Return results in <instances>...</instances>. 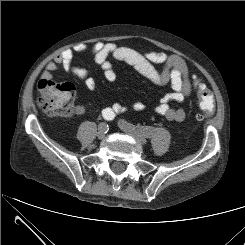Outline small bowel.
Here are the masks:
<instances>
[{"mask_svg":"<svg viewBox=\"0 0 245 245\" xmlns=\"http://www.w3.org/2000/svg\"><path fill=\"white\" fill-rule=\"evenodd\" d=\"M91 50L94 54L95 62L101 67L103 76L108 82H114L117 75L110 58L123 62L134 68L139 74L156 85H171V92L168 93L155 107L154 111L170 121L180 122L185 119L186 112L183 107H173L171 102L182 103L191 95L192 84L190 73L185 61L177 55H167L162 52L140 53L136 50L118 46L113 43L95 42L90 48L80 44L74 49H66L55 59L49 62L42 73L43 80H53V72L63 70L84 79L85 87L93 91L96 82L88 75V71L73 64L74 53H84ZM156 65H162L158 70ZM128 109L143 111L145 104L141 101H134L130 105L114 103L103 109L108 116L114 119L117 114L126 112ZM86 111L84 105H77L74 112L81 115Z\"/></svg>","mask_w":245,"mask_h":245,"instance_id":"small-bowel-1","label":"small bowel"}]
</instances>
